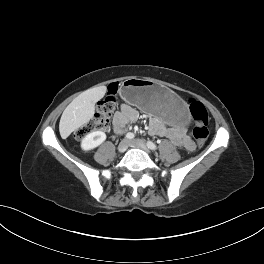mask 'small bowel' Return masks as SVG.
<instances>
[{
	"instance_id": "c3829d8e",
	"label": "small bowel",
	"mask_w": 264,
	"mask_h": 264,
	"mask_svg": "<svg viewBox=\"0 0 264 264\" xmlns=\"http://www.w3.org/2000/svg\"><path fill=\"white\" fill-rule=\"evenodd\" d=\"M139 113L133 107L123 104L120 110L115 114L113 125L115 129L121 130L128 122H134L138 119ZM149 131L152 135L168 138L177 146L192 150L194 143L183 126L167 127L163 122L153 117L149 124Z\"/></svg>"
}]
</instances>
